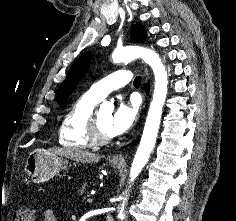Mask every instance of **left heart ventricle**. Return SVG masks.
Returning <instances> with one entry per match:
<instances>
[{
	"label": "left heart ventricle",
	"instance_id": "b2bd125f",
	"mask_svg": "<svg viewBox=\"0 0 236 221\" xmlns=\"http://www.w3.org/2000/svg\"><path fill=\"white\" fill-rule=\"evenodd\" d=\"M110 118H111V115L108 112H98L97 114L98 124H99L101 132L109 136L110 134L108 131V124H109Z\"/></svg>",
	"mask_w": 236,
	"mask_h": 221
}]
</instances>
